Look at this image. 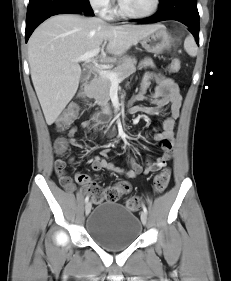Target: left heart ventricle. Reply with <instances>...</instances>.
Wrapping results in <instances>:
<instances>
[{
	"mask_svg": "<svg viewBox=\"0 0 231 281\" xmlns=\"http://www.w3.org/2000/svg\"><path fill=\"white\" fill-rule=\"evenodd\" d=\"M125 8L134 13H146L154 5V0H122Z\"/></svg>",
	"mask_w": 231,
	"mask_h": 281,
	"instance_id": "1",
	"label": "left heart ventricle"
}]
</instances>
